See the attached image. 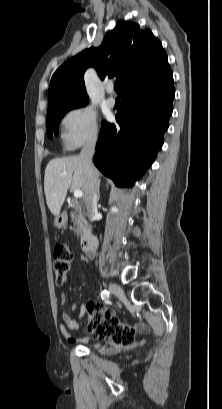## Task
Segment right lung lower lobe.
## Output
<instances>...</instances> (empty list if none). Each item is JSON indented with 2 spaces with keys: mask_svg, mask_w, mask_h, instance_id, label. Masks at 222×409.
<instances>
[{
  "mask_svg": "<svg viewBox=\"0 0 222 409\" xmlns=\"http://www.w3.org/2000/svg\"><path fill=\"white\" fill-rule=\"evenodd\" d=\"M175 95L172 71L153 78L152 86L142 81L126 92L119 127L106 124L97 142L94 164L116 186L132 187L153 162L163 145Z\"/></svg>",
  "mask_w": 222,
  "mask_h": 409,
  "instance_id": "obj_1",
  "label": "right lung lower lobe"
}]
</instances>
